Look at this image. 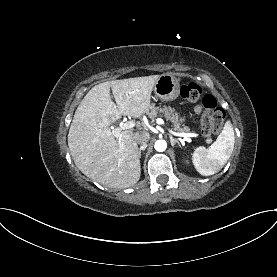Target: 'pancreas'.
I'll use <instances>...</instances> for the list:
<instances>
[{
    "label": "pancreas",
    "mask_w": 277,
    "mask_h": 277,
    "mask_svg": "<svg viewBox=\"0 0 277 277\" xmlns=\"http://www.w3.org/2000/svg\"><path fill=\"white\" fill-rule=\"evenodd\" d=\"M149 118L154 121L158 115H163L167 121L172 123V127L175 131L180 133H188L190 131L189 127L182 124L184 118H180L179 114L174 111L170 106H155L151 105L149 111L147 112Z\"/></svg>",
    "instance_id": "pancreas-1"
}]
</instances>
